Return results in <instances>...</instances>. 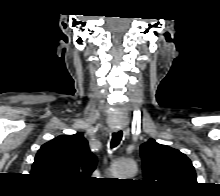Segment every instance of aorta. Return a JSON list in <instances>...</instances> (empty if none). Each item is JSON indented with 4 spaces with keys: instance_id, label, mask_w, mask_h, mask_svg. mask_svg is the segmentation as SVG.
<instances>
[{
    "instance_id": "762f6f07",
    "label": "aorta",
    "mask_w": 220,
    "mask_h": 196,
    "mask_svg": "<svg viewBox=\"0 0 220 196\" xmlns=\"http://www.w3.org/2000/svg\"><path fill=\"white\" fill-rule=\"evenodd\" d=\"M112 170L119 179H127L136 173L137 166L133 160H119L114 163Z\"/></svg>"
}]
</instances>
